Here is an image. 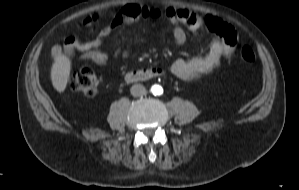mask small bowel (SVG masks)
Segmentation results:
<instances>
[{
    "mask_svg": "<svg viewBox=\"0 0 299 190\" xmlns=\"http://www.w3.org/2000/svg\"><path fill=\"white\" fill-rule=\"evenodd\" d=\"M166 15L171 23L175 25L173 36L178 45L186 41V31L181 26L185 25L190 31H196L201 25H206L210 30L217 34V38L212 42L209 52L205 56L192 59L178 58L170 66V71L182 80H193L213 71L219 64L222 57H229L237 43V33L235 29L214 16H198L186 8L170 6L166 9ZM162 14L161 9L138 5L135 3L123 4L120 10L113 15L110 26L102 30L97 37L89 42H81L73 36L65 39L62 46L54 45L51 49L53 57H59L66 53L76 55L79 58L92 60L97 64H106L108 55L102 50L105 38L111 33L112 29L131 24L140 18L157 19ZM120 55L117 49L115 57ZM123 56H127L126 53Z\"/></svg>",
    "mask_w": 299,
    "mask_h": 190,
    "instance_id": "1",
    "label": "small bowel"
}]
</instances>
